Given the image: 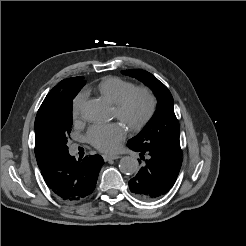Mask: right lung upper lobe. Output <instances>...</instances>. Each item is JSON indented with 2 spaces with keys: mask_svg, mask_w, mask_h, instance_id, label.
I'll use <instances>...</instances> for the list:
<instances>
[{
  "mask_svg": "<svg viewBox=\"0 0 246 246\" xmlns=\"http://www.w3.org/2000/svg\"><path fill=\"white\" fill-rule=\"evenodd\" d=\"M84 77H73L60 81L41 104L35 119V156L38 167L43 171L50 162L58 157L50 138V114L55 100L69 88L84 85Z\"/></svg>",
  "mask_w": 246,
  "mask_h": 246,
  "instance_id": "cb5924a9",
  "label": "right lung upper lobe"
}]
</instances>
